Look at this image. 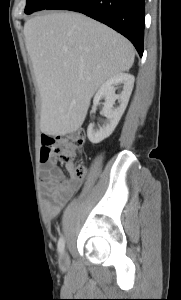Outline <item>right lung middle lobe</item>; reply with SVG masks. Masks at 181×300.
Wrapping results in <instances>:
<instances>
[{
  "label": "right lung middle lobe",
  "instance_id": "1",
  "mask_svg": "<svg viewBox=\"0 0 181 300\" xmlns=\"http://www.w3.org/2000/svg\"><path fill=\"white\" fill-rule=\"evenodd\" d=\"M55 0H27L25 13L31 14L36 11L44 10L50 4H52Z\"/></svg>",
  "mask_w": 181,
  "mask_h": 300
}]
</instances>
